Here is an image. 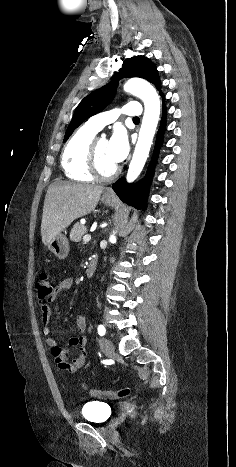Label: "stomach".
<instances>
[{
	"label": "stomach",
	"instance_id": "obj_1",
	"mask_svg": "<svg viewBox=\"0 0 236 467\" xmlns=\"http://www.w3.org/2000/svg\"><path fill=\"white\" fill-rule=\"evenodd\" d=\"M102 202L106 206H110L114 202V198L103 195ZM46 249L53 253L59 259H64L69 253V242L66 236L58 234L51 242L46 245Z\"/></svg>",
	"mask_w": 236,
	"mask_h": 467
}]
</instances>
